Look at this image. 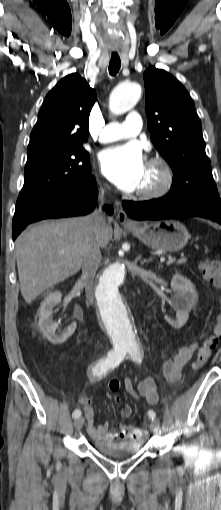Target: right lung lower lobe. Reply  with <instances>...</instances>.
Segmentation results:
<instances>
[{"mask_svg":"<svg viewBox=\"0 0 221 510\" xmlns=\"http://www.w3.org/2000/svg\"><path fill=\"white\" fill-rule=\"evenodd\" d=\"M97 200V188L94 176H90L89 180L80 187L63 194L33 212L25 219H19L14 215L13 218V240L20 232L30 223L49 218H61L88 214L95 207ZM104 209L109 213H113L110 206Z\"/></svg>","mask_w":221,"mask_h":510,"instance_id":"1","label":"right lung lower lobe"}]
</instances>
